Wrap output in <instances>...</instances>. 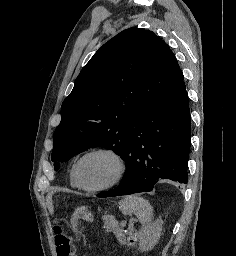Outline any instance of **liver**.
Here are the masks:
<instances>
[{"mask_svg":"<svg viewBox=\"0 0 236 256\" xmlns=\"http://www.w3.org/2000/svg\"><path fill=\"white\" fill-rule=\"evenodd\" d=\"M51 202H52V200H51V194H48V196H47L48 210H49L50 214H53L54 208H53Z\"/></svg>","mask_w":236,"mask_h":256,"instance_id":"6515ba94","label":"liver"}]
</instances>
